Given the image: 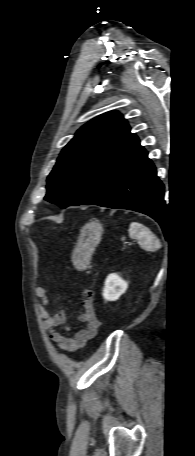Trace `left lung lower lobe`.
<instances>
[{
	"instance_id": "0a47b994",
	"label": "left lung lower lobe",
	"mask_w": 195,
	"mask_h": 456,
	"mask_svg": "<svg viewBox=\"0 0 195 456\" xmlns=\"http://www.w3.org/2000/svg\"><path fill=\"white\" fill-rule=\"evenodd\" d=\"M163 197L164 185L136 137L103 185L82 205L134 210L161 224L166 210Z\"/></svg>"
}]
</instances>
